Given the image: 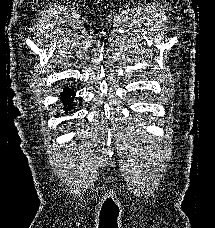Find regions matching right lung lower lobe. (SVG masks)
I'll list each match as a JSON object with an SVG mask.
<instances>
[{
    "label": "right lung lower lobe",
    "mask_w": 215,
    "mask_h": 228,
    "mask_svg": "<svg viewBox=\"0 0 215 228\" xmlns=\"http://www.w3.org/2000/svg\"><path fill=\"white\" fill-rule=\"evenodd\" d=\"M75 93L70 88H65L64 91L61 93V100L64 105L65 113L70 111L72 109L71 103L73 98L71 96H74Z\"/></svg>",
    "instance_id": "obj_1"
}]
</instances>
